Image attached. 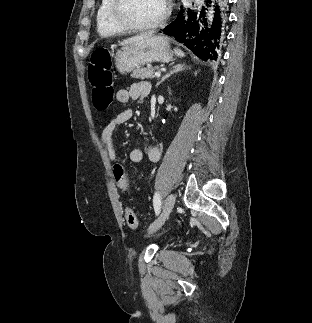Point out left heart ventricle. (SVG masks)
<instances>
[{"mask_svg":"<svg viewBox=\"0 0 312 323\" xmlns=\"http://www.w3.org/2000/svg\"><path fill=\"white\" fill-rule=\"evenodd\" d=\"M118 14L124 18H134L135 22H145L149 18H159L164 9L163 0H119Z\"/></svg>","mask_w":312,"mask_h":323,"instance_id":"left-heart-ventricle-1","label":"left heart ventricle"}]
</instances>
